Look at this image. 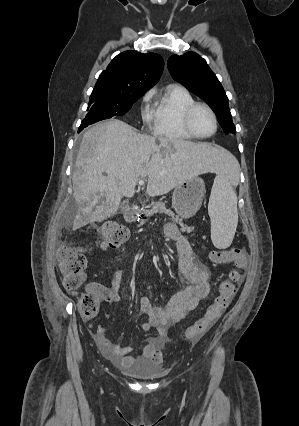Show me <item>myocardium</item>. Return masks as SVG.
<instances>
[{"label":"myocardium","instance_id":"myocardium-1","mask_svg":"<svg viewBox=\"0 0 299 426\" xmlns=\"http://www.w3.org/2000/svg\"><path fill=\"white\" fill-rule=\"evenodd\" d=\"M199 108H203V109L207 110L209 112V114L211 115L213 121H214V131L207 136H203V135L198 134L194 130L193 125H192L193 115L196 112V110L199 109ZM183 126H184L186 132L189 135H191L193 138L208 139V138H211L212 136H214L217 133L219 124H218V119H217V116H216L214 110L208 104L202 103V102H195V103L191 104L185 110L184 115H183Z\"/></svg>","mask_w":299,"mask_h":426}]
</instances>
